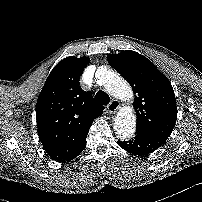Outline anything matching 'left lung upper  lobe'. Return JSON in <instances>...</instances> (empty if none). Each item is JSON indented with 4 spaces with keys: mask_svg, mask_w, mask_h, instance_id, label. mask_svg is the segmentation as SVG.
Masks as SVG:
<instances>
[{
    "mask_svg": "<svg viewBox=\"0 0 202 202\" xmlns=\"http://www.w3.org/2000/svg\"><path fill=\"white\" fill-rule=\"evenodd\" d=\"M108 60L136 94L133 102L137 115L136 134L167 139L177 119L176 99L170 81L148 58L135 51L110 54Z\"/></svg>",
    "mask_w": 202,
    "mask_h": 202,
    "instance_id": "left-lung-upper-lobe-1",
    "label": "left lung upper lobe"
}]
</instances>
